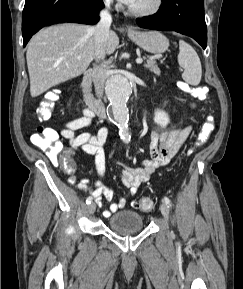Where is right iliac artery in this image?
I'll use <instances>...</instances> for the list:
<instances>
[{
    "label": "right iliac artery",
    "mask_w": 243,
    "mask_h": 289,
    "mask_svg": "<svg viewBox=\"0 0 243 289\" xmlns=\"http://www.w3.org/2000/svg\"><path fill=\"white\" fill-rule=\"evenodd\" d=\"M91 202H92V197H90V196L87 197V199H86V203H87V204H90Z\"/></svg>",
    "instance_id": "1"
}]
</instances>
